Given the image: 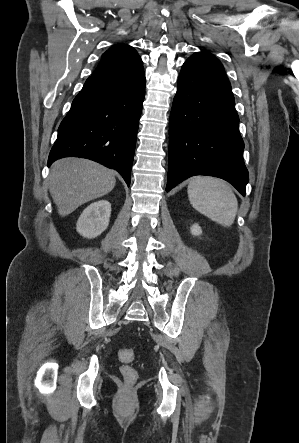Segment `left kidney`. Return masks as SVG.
I'll use <instances>...</instances> for the list:
<instances>
[{"label": "left kidney", "mask_w": 299, "mask_h": 443, "mask_svg": "<svg viewBox=\"0 0 299 443\" xmlns=\"http://www.w3.org/2000/svg\"><path fill=\"white\" fill-rule=\"evenodd\" d=\"M190 229L194 236H199L202 233L201 227L198 224H194Z\"/></svg>", "instance_id": "5707ae66"}]
</instances>
